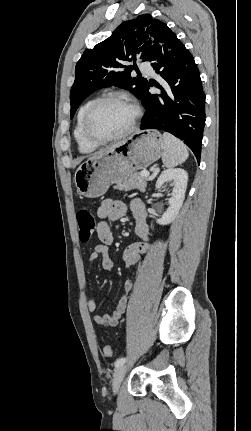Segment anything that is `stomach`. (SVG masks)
I'll return each mask as SVG.
<instances>
[{"instance_id": "stomach-1", "label": "stomach", "mask_w": 251, "mask_h": 431, "mask_svg": "<svg viewBox=\"0 0 251 431\" xmlns=\"http://www.w3.org/2000/svg\"><path fill=\"white\" fill-rule=\"evenodd\" d=\"M164 152L162 135L155 130L139 131L103 155L90 158L75 172L77 191L87 198H98L115 183L146 169Z\"/></svg>"}]
</instances>
